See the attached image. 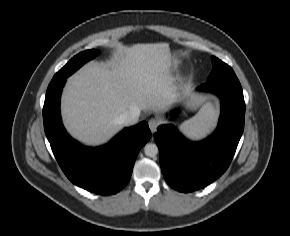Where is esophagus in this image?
Wrapping results in <instances>:
<instances>
[{
	"label": "esophagus",
	"mask_w": 290,
	"mask_h": 236,
	"mask_svg": "<svg viewBox=\"0 0 290 236\" xmlns=\"http://www.w3.org/2000/svg\"><path fill=\"white\" fill-rule=\"evenodd\" d=\"M159 124L160 121L157 118H150L148 121V125L152 133H154L157 130Z\"/></svg>",
	"instance_id": "1"
}]
</instances>
